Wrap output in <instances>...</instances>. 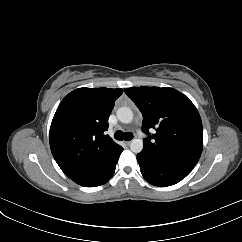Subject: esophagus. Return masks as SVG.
<instances>
[{
	"label": "esophagus",
	"mask_w": 242,
	"mask_h": 242,
	"mask_svg": "<svg viewBox=\"0 0 242 242\" xmlns=\"http://www.w3.org/2000/svg\"><path fill=\"white\" fill-rule=\"evenodd\" d=\"M124 143L126 146H129L131 144V141H125Z\"/></svg>",
	"instance_id": "esophagus-1"
}]
</instances>
